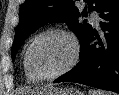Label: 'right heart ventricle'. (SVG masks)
Listing matches in <instances>:
<instances>
[{
    "label": "right heart ventricle",
    "instance_id": "1",
    "mask_svg": "<svg viewBox=\"0 0 119 95\" xmlns=\"http://www.w3.org/2000/svg\"><path fill=\"white\" fill-rule=\"evenodd\" d=\"M28 47H29V46H28ZM28 47L26 48V50H25V52H24V54H23V60H22L25 77H26V80L29 81V82H38L39 79H37V78L30 72V70L28 69V66H27L26 54H27Z\"/></svg>",
    "mask_w": 119,
    "mask_h": 95
}]
</instances>
